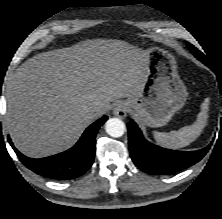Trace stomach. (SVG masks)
Segmentation results:
<instances>
[{"instance_id": "0dacf381", "label": "stomach", "mask_w": 222, "mask_h": 219, "mask_svg": "<svg viewBox=\"0 0 222 219\" xmlns=\"http://www.w3.org/2000/svg\"><path fill=\"white\" fill-rule=\"evenodd\" d=\"M146 53L148 62L143 88L123 103L126 111L140 122L161 127L184 106L188 93L171 53L160 47H150Z\"/></svg>"}]
</instances>
